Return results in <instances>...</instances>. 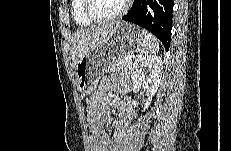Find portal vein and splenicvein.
<instances>
[{"instance_id":"portal-vein-and-splenic-vein-1","label":"portal vein and splenic vein","mask_w":231,"mask_h":151,"mask_svg":"<svg viewBox=\"0 0 231 151\" xmlns=\"http://www.w3.org/2000/svg\"><path fill=\"white\" fill-rule=\"evenodd\" d=\"M126 60L131 61L132 60V56H126Z\"/></svg>"}]
</instances>
